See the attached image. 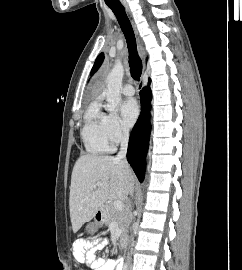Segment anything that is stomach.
Here are the masks:
<instances>
[{
	"label": "stomach",
	"mask_w": 242,
	"mask_h": 270,
	"mask_svg": "<svg viewBox=\"0 0 242 270\" xmlns=\"http://www.w3.org/2000/svg\"><path fill=\"white\" fill-rule=\"evenodd\" d=\"M100 213H101V220H104V217H105V212H104V210H101Z\"/></svg>",
	"instance_id": "1"
}]
</instances>
